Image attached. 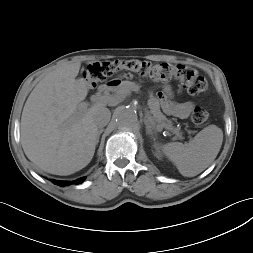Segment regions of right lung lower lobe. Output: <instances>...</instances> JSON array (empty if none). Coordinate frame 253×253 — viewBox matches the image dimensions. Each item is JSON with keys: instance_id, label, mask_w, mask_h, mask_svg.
<instances>
[{"instance_id": "98d812e1", "label": "right lung lower lobe", "mask_w": 253, "mask_h": 253, "mask_svg": "<svg viewBox=\"0 0 253 253\" xmlns=\"http://www.w3.org/2000/svg\"><path fill=\"white\" fill-rule=\"evenodd\" d=\"M86 177H83V178H79V179H76L74 181H71V182H67V181H58V180H52V182L56 185H60V186H65V185H70V184H79V183H82L84 180H85Z\"/></svg>"}]
</instances>
